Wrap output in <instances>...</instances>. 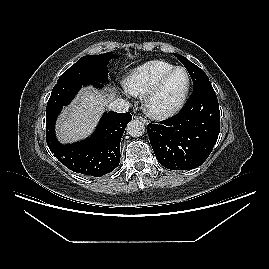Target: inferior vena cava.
Returning <instances> with one entry per match:
<instances>
[{
  "label": "inferior vena cava",
  "mask_w": 269,
  "mask_h": 269,
  "mask_svg": "<svg viewBox=\"0 0 269 269\" xmlns=\"http://www.w3.org/2000/svg\"><path fill=\"white\" fill-rule=\"evenodd\" d=\"M109 109L117 113H126L129 109V103L124 99H116L110 103Z\"/></svg>",
  "instance_id": "602c4592"
}]
</instances>
